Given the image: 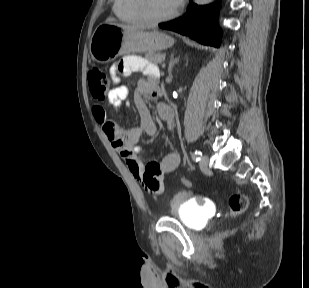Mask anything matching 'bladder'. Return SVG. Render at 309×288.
<instances>
[{"mask_svg":"<svg viewBox=\"0 0 309 288\" xmlns=\"http://www.w3.org/2000/svg\"><path fill=\"white\" fill-rule=\"evenodd\" d=\"M168 208L186 227L195 231L203 229L212 214L210 205L193 199L184 192L175 194L170 199Z\"/></svg>","mask_w":309,"mask_h":288,"instance_id":"31cf9c89","label":"bladder"}]
</instances>
